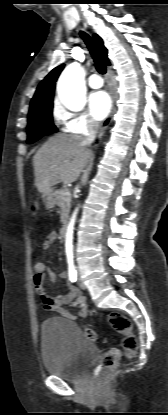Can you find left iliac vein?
Listing matches in <instances>:
<instances>
[{"label":"left iliac vein","mask_w":168,"mask_h":415,"mask_svg":"<svg viewBox=\"0 0 168 415\" xmlns=\"http://www.w3.org/2000/svg\"><path fill=\"white\" fill-rule=\"evenodd\" d=\"M77 284L80 288L85 289V284L83 283L79 273L77 275Z\"/></svg>","instance_id":"obj_1"}]
</instances>
